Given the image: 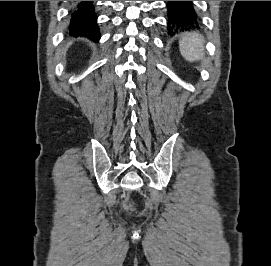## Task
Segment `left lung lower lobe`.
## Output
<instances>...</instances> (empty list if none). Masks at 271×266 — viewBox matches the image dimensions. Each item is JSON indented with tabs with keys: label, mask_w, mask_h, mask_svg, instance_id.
<instances>
[{
	"label": "left lung lower lobe",
	"mask_w": 271,
	"mask_h": 266,
	"mask_svg": "<svg viewBox=\"0 0 271 266\" xmlns=\"http://www.w3.org/2000/svg\"><path fill=\"white\" fill-rule=\"evenodd\" d=\"M167 9L168 33L174 34V31L200 27L201 21L192 1H168Z\"/></svg>",
	"instance_id": "obj_1"
}]
</instances>
